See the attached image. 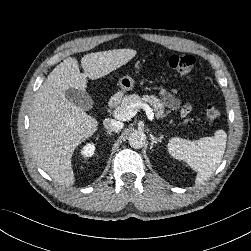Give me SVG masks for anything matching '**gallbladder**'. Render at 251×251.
<instances>
[{"label": "gallbladder", "mask_w": 251, "mask_h": 251, "mask_svg": "<svg viewBox=\"0 0 251 251\" xmlns=\"http://www.w3.org/2000/svg\"><path fill=\"white\" fill-rule=\"evenodd\" d=\"M65 97L71 103L77 105L83 110H90L93 107V100L87 92L76 88H70L66 91Z\"/></svg>", "instance_id": "1"}]
</instances>
